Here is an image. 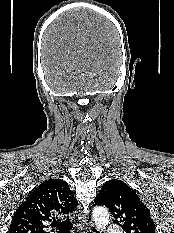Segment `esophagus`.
<instances>
[{
    "instance_id": "1",
    "label": "esophagus",
    "mask_w": 174,
    "mask_h": 233,
    "mask_svg": "<svg viewBox=\"0 0 174 233\" xmlns=\"http://www.w3.org/2000/svg\"><path fill=\"white\" fill-rule=\"evenodd\" d=\"M94 224L85 215L81 214L79 217V229L82 233L91 232Z\"/></svg>"
}]
</instances>
